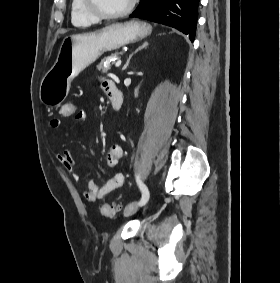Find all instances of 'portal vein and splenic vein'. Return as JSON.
<instances>
[{
  "label": "portal vein and splenic vein",
  "mask_w": 280,
  "mask_h": 283,
  "mask_svg": "<svg viewBox=\"0 0 280 283\" xmlns=\"http://www.w3.org/2000/svg\"><path fill=\"white\" fill-rule=\"evenodd\" d=\"M122 63V60L121 59H118L116 62H115V67H119Z\"/></svg>",
  "instance_id": "18ae733b"
}]
</instances>
